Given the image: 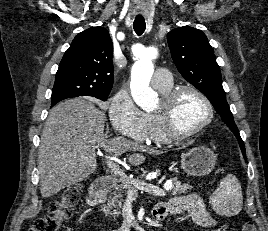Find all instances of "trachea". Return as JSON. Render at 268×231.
<instances>
[{
  "instance_id": "1",
  "label": "trachea",
  "mask_w": 268,
  "mask_h": 231,
  "mask_svg": "<svg viewBox=\"0 0 268 231\" xmlns=\"http://www.w3.org/2000/svg\"><path fill=\"white\" fill-rule=\"evenodd\" d=\"M133 28L137 35H142L146 29L145 20L143 18H135Z\"/></svg>"
}]
</instances>
